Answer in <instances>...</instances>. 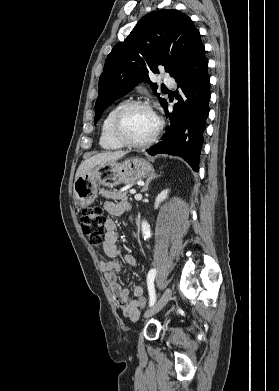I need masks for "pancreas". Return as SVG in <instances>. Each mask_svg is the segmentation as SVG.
<instances>
[{
    "label": "pancreas",
    "instance_id": "cf45deb5",
    "mask_svg": "<svg viewBox=\"0 0 279 391\" xmlns=\"http://www.w3.org/2000/svg\"><path fill=\"white\" fill-rule=\"evenodd\" d=\"M103 197L108 198V199H113L115 201L117 200H122L126 201L128 199V194L126 191H115V190H104L101 189L99 192Z\"/></svg>",
    "mask_w": 279,
    "mask_h": 391
}]
</instances>
